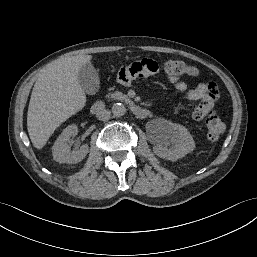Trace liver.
Returning a JSON list of instances; mask_svg holds the SVG:
<instances>
[{"instance_id":"obj_1","label":"liver","mask_w":257,"mask_h":257,"mask_svg":"<svg viewBox=\"0 0 257 257\" xmlns=\"http://www.w3.org/2000/svg\"><path fill=\"white\" fill-rule=\"evenodd\" d=\"M91 59V55L58 59L39 74L27 113V129L35 148L42 149L54 131L85 106L78 74Z\"/></svg>"}]
</instances>
